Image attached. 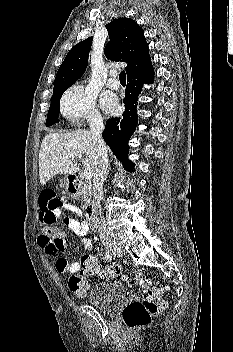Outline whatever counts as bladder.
I'll use <instances>...</instances> for the list:
<instances>
[{"label": "bladder", "mask_w": 233, "mask_h": 352, "mask_svg": "<svg viewBox=\"0 0 233 352\" xmlns=\"http://www.w3.org/2000/svg\"><path fill=\"white\" fill-rule=\"evenodd\" d=\"M126 292L122 285L109 282L96 285L90 292L89 303L106 314H113L124 302Z\"/></svg>", "instance_id": "31cf9c89"}]
</instances>
